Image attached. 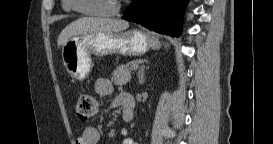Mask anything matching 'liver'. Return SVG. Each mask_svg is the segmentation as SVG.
<instances>
[{
    "instance_id": "1",
    "label": "liver",
    "mask_w": 273,
    "mask_h": 144,
    "mask_svg": "<svg viewBox=\"0 0 273 144\" xmlns=\"http://www.w3.org/2000/svg\"><path fill=\"white\" fill-rule=\"evenodd\" d=\"M129 27V23L120 19L84 17L67 25L60 33L57 44L63 46L68 39L87 32L104 31L117 33Z\"/></svg>"
}]
</instances>
